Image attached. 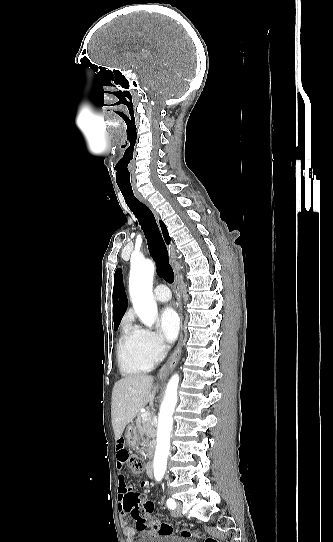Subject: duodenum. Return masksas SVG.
<instances>
[{"label": "duodenum", "mask_w": 333, "mask_h": 542, "mask_svg": "<svg viewBox=\"0 0 333 542\" xmlns=\"http://www.w3.org/2000/svg\"><path fill=\"white\" fill-rule=\"evenodd\" d=\"M146 472H147V475L149 477H153L154 475V465H153V461L150 460L147 465H146Z\"/></svg>", "instance_id": "obj_1"}]
</instances>
